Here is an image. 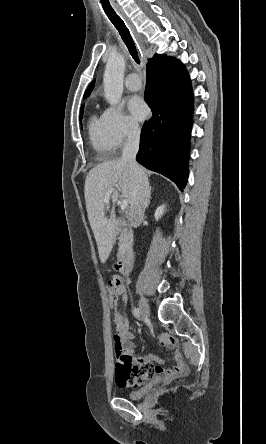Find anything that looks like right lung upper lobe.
I'll return each mask as SVG.
<instances>
[{"label":"right lung upper lobe","instance_id":"obj_1","mask_svg":"<svg viewBox=\"0 0 266 444\" xmlns=\"http://www.w3.org/2000/svg\"><path fill=\"white\" fill-rule=\"evenodd\" d=\"M167 59H169V58H167V56H165V55L155 54L154 57L149 60V62L147 63V66L151 65V64H155V63H159V62L165 61ZM94 84H95V80L92 81L90 83V85L88 86L87 90L85 91L84 98H87L90 95V93H91V91H92V89L94 87Z\"/></svg>","mask_w":266,"mask_h":444}]
</instances>
